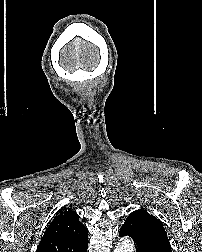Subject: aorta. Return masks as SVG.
Returning <instances> with one entry per match:
<instances>
[{
    "label": "aorta",
    "mask_w": 202,
    "mask_h": 252,
    "mask_svg": "<svg viewBox=\"0 0 202 252\" xmlns=\"http://www.w3.org/2000/svg\"><path fill=\"white\" fill-rule=\"evenodd\" d=\"M134 245L131 239L122 238L117 243L114 252H133Z\"/></svg>",
    "instance_id": "762f6f07"
}]
</instances>
